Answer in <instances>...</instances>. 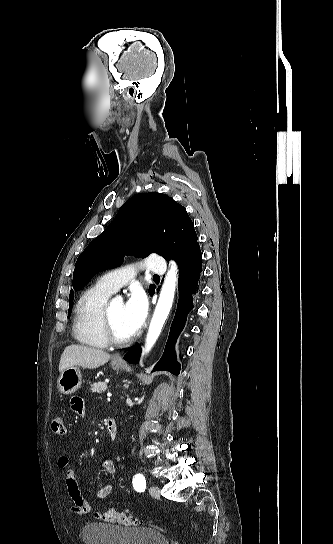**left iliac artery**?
I'll list each match as a JSON object with an SVG mask.
<instances>
[{
  "label": "left iliac artery",
  "mask_w": 333,
  "mask_h": 544,
  "mask_svg": "<svg viewBox=\"0 0 333 544\" xmlns=\"http://www.w3.org/2000/svg\"><path fill=\"white\" fill-rule=\"evenodd\" d=\"M133 487L136 491L142 492L146 488V480L142 474H136L133 478Z\"/></svg>",
  "instance_id": "1"
}]
</instances>
